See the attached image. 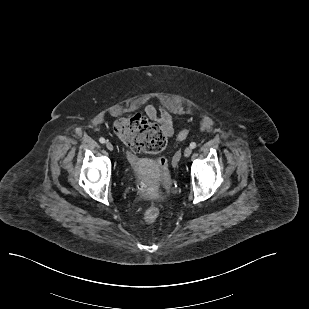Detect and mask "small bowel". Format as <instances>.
Returning <instances> with one entry per match:
<instances>
[{
    "instance_id": "c3829d8e",
    "label": "small bowel",
    "mask_w": 309,
    "mask_h": 309,
    "mask_svg": "<svg viewBox=\"0 0 309 309\" xmlns=\"http://www.w3.org/2000/svg\"><path fill=\"white\" fill-rule=\"evenodd\" d=\"M144 112L149 120L160 126L161 130L164 132L165 135H173V117L165 106H160L159 108H157L153 104H147L144 107ZM130 159L133 162L135 161V157L133 156H131Z\"/></svg>"
}]
</instances>
